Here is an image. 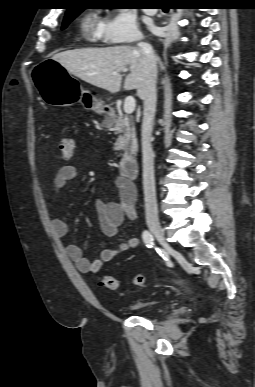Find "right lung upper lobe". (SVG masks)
Returning <instances> with one entry per match:
<instances>
[{
    "mask_svg": "<svg viewBox=\"0 0 255 387\" xmlns=\"http://www.w3.org/2000/svg\"><path fill=\"white\" fill-rule=\"evenodd\" d=\"M74 8H76V7L68 8V9H67V12L70 11L71 9H74Z\"/></svg>",
    "mask_w": 255,
    "mask_h": 387,
    "instance_id": "right-lung-upper-lobe-1",
    "label": "right lung upper lobe"
}]
</instances>
